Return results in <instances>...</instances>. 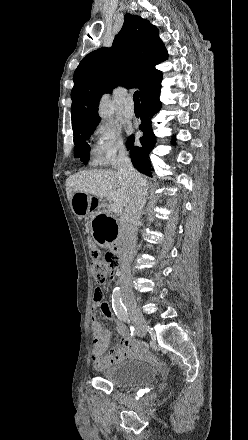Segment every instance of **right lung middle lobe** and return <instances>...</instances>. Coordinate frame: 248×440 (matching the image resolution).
<instances>
[{"label":"right lung middle lobe","mask_w":248,"mask_h":440,"mask_svg":"<svg viewBox=\"0 0 248 440\" xmlns=\"http://www.w3.org/2000/svg\"><path fill=\"white\" fill-rule=\"evenodd\" d=\"M94 130L95 129L74 135V156L76 158H81L84 161L88 160L90 147L87 144L86 140L90 138Z\"/></svg>","instance_id":"right-lung-middle-lobe-1"}]
</instances>
